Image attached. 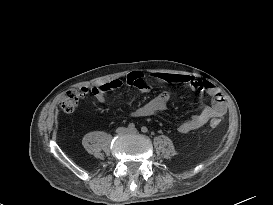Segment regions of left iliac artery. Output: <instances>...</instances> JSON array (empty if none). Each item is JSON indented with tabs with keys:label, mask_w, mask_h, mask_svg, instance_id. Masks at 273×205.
<instances>
[{
	"label": "left iliac artery",
	"mask_w": 273,
	"mask_h": 205,
	"mask_svg": "<svg viewBox=\"0 0 273 205\" xmlns=\"http://www.w3.org/2000/svg\"><path fill=\"white\" fill-rule=\"evenodd\" d=\"M141 131H142L143 133H146V132H148V129H147V127L143 126V127L141 128Z\"/></svg>",
	"instance_id": "1"
}]
</instances>
